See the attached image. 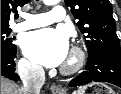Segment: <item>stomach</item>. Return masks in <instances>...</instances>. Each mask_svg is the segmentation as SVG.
Returning <instances> with one entry per match:
<instances>
[{
  "mask_svg": "<svg viewBox=\"0 0 121 94\" xmlns=\"http://www.w3.org/2000/svg\"><path fill=\"white\" fill-rule=\"evenodd\" d=\"M74 94H115V92L106 84L91 83L87 86L80 88Z\"/></svg>",
  "mask_w": 121,
  "mask_h": 94,
  "instance_id": "obj_1",
  "label": "stomach"
}]
</instances>
